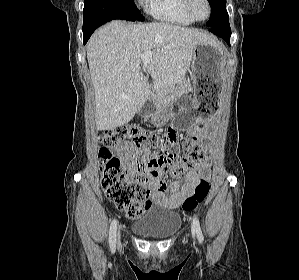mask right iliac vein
<instances>
[{"instance_id": "obj_1", "label": "right iliac vein", "mask_w": 299, "mask_h": 280, "mask_svg": "<svg viewBox=\"0 0 299 280\" xmlns=\"http://www.w3.org/2000/svg\"><path fill=\"white\" fill-rule=\"evenodd\" d=\"M120 242V232L118 231V243Z\"/></svg>"}]
</instances>
